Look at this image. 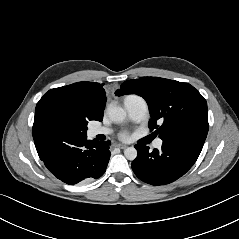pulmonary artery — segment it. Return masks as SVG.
<instances>
[{
    "label": "pulmonary artery",
    "mask_w": 239,
    "mask_h": 239,
    "mask_svg": "<svg viewBox=\"0 0 239 239\" xmlns=\"http://www.w3.org/2000/svg\"><path fill=\"white\" fill-rule=\"evenodd\" d=\"M123 105L132 121L141 122L146 119L148 115V104L142 97L129 95L124 99ZM111 132L112 130L107 127H92L88 131L89 135L92 137L97 135H108ZM162 143L161 139H157L154 146L159 148L162 146Z\"/></svg>",
    "instance_id": "pulmonary-artery-1"
}]
</instances>
